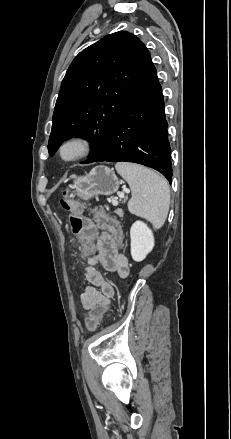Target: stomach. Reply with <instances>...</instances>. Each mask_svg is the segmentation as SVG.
Returning a JSON list of instances; mask_svg holds the SVG:
<instances>
[{"instance_id":"1","label":"stomach","mask_w":231,"mask_h":439,"mask_svg":"<svg viewBox=\"0 0 231 439\" xmlns=\"http://www.w3.org/2000/svg\"><path fill=\"white\" fill-rule=\"evenodd\" d=\"M119 180L115 173L105 166L93 168L89 173L74 179L71 189L81 199L88 200L94 196H110L117 192Z\"/></svg>"}]
</instances>
